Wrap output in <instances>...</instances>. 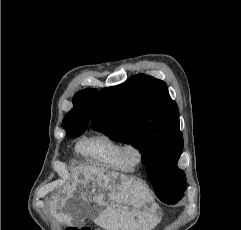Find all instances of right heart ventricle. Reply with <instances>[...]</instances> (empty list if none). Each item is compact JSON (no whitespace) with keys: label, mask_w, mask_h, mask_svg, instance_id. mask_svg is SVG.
<instances>
[{"label":"right heart ventricle","mask_w":241,"mask_h":230,"mask_svg":"<svg viewBox=\"0 0 241 230\" xmlns=\"http://www.w3.org/2000/svg\"><path fill=\"white\" fill-rule=\"evenodd\" d=\"M122 142L110 133L97 131L81 140L77 151L88 161L129 171L121 159Z\"/></svg>","instance_id":"obj_1"}]
</instances>
